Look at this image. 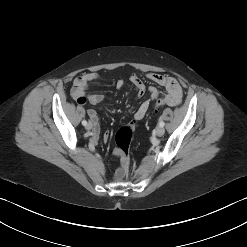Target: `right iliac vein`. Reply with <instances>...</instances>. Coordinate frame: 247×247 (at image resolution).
Instances as JSON below:
<instances>
[{"instance_id":"1","label":"right iliac vein","mask_w":247,"mask_h":247,"mask_svg":"<svg viewBox=\"0 0 247 247\" xmlns=\"http://www.w3.org/2000/svg\"><path fill=\"white\" fill-rule=\"evenodd\" d=\"M93 128V124L91 122H89L87 125H86V129L87 130H91Z\"/></svg>"}]
</instances>
